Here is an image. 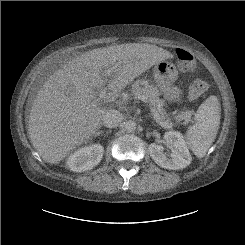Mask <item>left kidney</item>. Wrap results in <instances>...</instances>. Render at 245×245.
<instances>
[{"mask_svg":"<svg viewBox=\"0 0 245 245\" xmlns=\"http://www.w3.org/2000/svg\"><path fill=\"white\" fill-rule=\"evenodd\" d=\"M167 146L171 149V154L167 156L163 153L164 147L155 143L149 145V154L154 162L162 168L169 170H179L187 167L192 157L186 145L183 135L178 131H167L164 134Z\"/></svg>","mask_w":245,"mask_h":245,"instance_id":"1","label":"left kidney"}]
</instances>
